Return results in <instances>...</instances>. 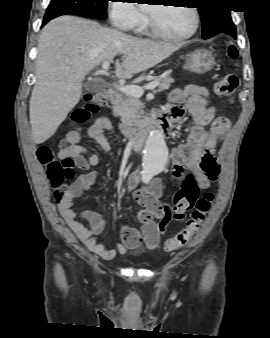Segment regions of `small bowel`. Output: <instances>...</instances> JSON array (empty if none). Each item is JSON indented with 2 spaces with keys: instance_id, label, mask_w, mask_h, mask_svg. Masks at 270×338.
Listing matches in <instances>:
<instances>
[{
  "instance_id": "c3829d8e",
  "label": "small bowel",
  "mask_w": 270,
  "mask_h": 338,
  "mask_svg": "<svg viewBox=\"0 0 270 338\" xmlns=\"http://www.w3.org/2000/svg\"><path fill=\"white\" fill-rule=\"evenodd\" d=\"M183 108L193 118L194 125L189 131L187 142L178 145L172 151L174 164L171 168V175L175 181H181L186 174H189L196 179L200 188L205 189L212 179L201 169L204 151L205 149H210L212 157L215 159L213 149L224 140L228 131L227 129L221 131L214 127L211 130L207 129L208 125H214L215 123L217 108L212 103L207 88L189 84L184 88L172 90L169 94V103L159 111L167 117L170 123V134L167 135L174 133L173 124L181 120ZM111 128L112 123L107 117H99L87 129V135L101 147L103 152H107L109 149L104 134ZM81 139L82 132L80 128L68 131L66 139L62 143L59 157L61 159L69 157L77 168L86 170L89 166L98 165L99 156L94 153L87 159L85 157L86 148L80 144ZM64 142H69L72 146L66 148ZM97 177L96 171L82 173L65 191L55 195L59 211L72 231L90 251L104 260L114 259L118 253H124L127 248L138 250L142 243L150 250L155 249L159 244L160 234L166 231L168 225L166 222L145 221L142 226V234L134 229L123 228L121 231V243H117L113 248H107L97 238L104 231L102 218L91 212H85L83 217L89 221V225L87 226L79 220L74 211V200L79 198L85 190L91 189ZM139 178L138 171L134 172L129 178L128 188L132 191L133 198L151 216L162 215L164 206L159 202L163 191L161 181L153 180L148 191H135Z\"/></svg>"
}]
</instances>
